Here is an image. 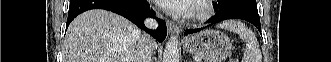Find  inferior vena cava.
I'll return each mask as SVG.
<instances>
[{"label": "inferior vena cava", "instance_id": "1", "mask_svg": "<svg viewBox=\"0 0 331 62\" xmlns=\"http://www.w3.org/2000/svg\"><path fill=\"white\" fill-rule=\"evenodd\" d=\"M144 23L149 29H155L158 26V22L152 18L146 19ZM152 43L147 35L139 39L135 47L134 62H151Z\"/></svg>", "mask_w": 331, "mask_h": 62}]
</instances>
